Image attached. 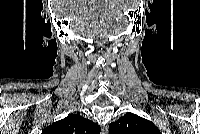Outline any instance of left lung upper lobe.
<instances>
[{
  "label": "left lung upper lobe",
  "mask_w": 200,
  "mask_h": 134,
  "mask_svg": "<svg viewBox=\"0 0 200 134\" xmlns=\"http://www.w3.org/2000/svg\"><path fill=\"white\" fill-rule=\"evenodd\" d=\"M110 134H160L159 129L149 120L136 114L127 113L109 125Z\"/></svg>",
  "instance_id": "obj_1"
}]
</instances>
